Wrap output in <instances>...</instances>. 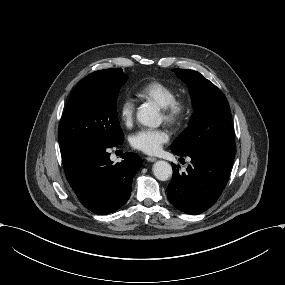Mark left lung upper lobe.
<instances>
[{"mask_svg":"<svg viewBox=\"0 0 285 285\" xmlns=\"http://www.w3.org/2000/svg\"><path fill=\"white\" fill-rule=\"evenodd\" d=\"M173 71L187 84L195 112L188 128L171 145L172 152L187 156L212 145H234L231 113L225 95L197 71L178 68Z\"/></svg>","mask_w":285,"mask_h":285,"instance_id":"left-lung-upper-lobe-1","label":"left lung upper lobe"}]
</instances>
